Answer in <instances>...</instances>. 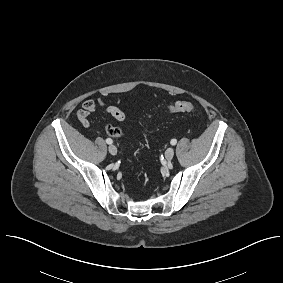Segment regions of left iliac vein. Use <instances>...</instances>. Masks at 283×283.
<instances>
[{
    "label": "left iliac vein",
    "mask_w": 283,
    "mask_h": 283,
    "mask_svg": "<svg viewBox=\"0 0 283 283\" xmlns=\"http://www.w3.org/2000/svg\"><path fill=\"white\" fill-rule=\"evenodd\" d=\"M173 156H174V149L172 147H170L165 151V158L168 161H171Z\"/></svg>",
    "instance_id": "obj_1"
}]
</instances>
